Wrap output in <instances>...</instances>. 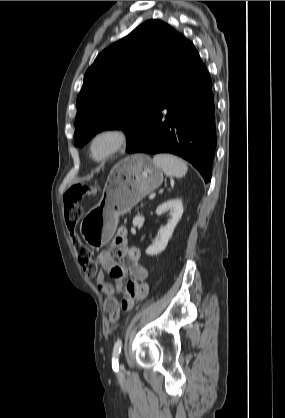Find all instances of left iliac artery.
<instances>
[{
	"mask_svg": "<svg viewBox=\"0 0 285 418\" xmlns=\"http://www.w3.org/2000/svg\"><path fill=\"white\" fill-rule=\"evenodd\" d=\"M121 348H122V340L118 339L115 344H114V348H113V358H112V368L114 371H118L119 370V355L121 352Z\"/></svg>",
	"mask_w": 285,
	"mask_h": 418,
	"instance_id": "44dca946",
	"label": "left iliac artery"
}]
</instances>
